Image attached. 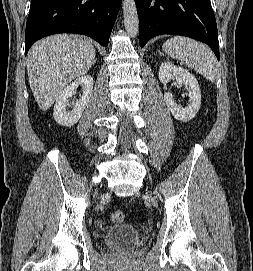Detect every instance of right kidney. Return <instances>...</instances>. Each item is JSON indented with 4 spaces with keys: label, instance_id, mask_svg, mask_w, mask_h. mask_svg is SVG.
<instances>
[{
    "label": "right kidney",
    "instance_id": "obj_1",
    "mask_svg": "<svg viewBox=\"0 0 253 271\" xmlns=\"http://www.w3.org/2000/svg\"><path fill=\"white\" fill-rule=\"evenodd\" d=\"M79 86L82 87L83 95L73 105L72 110H68L67 108L71 107L69 98L75 95L76 89ZM92 92L93 78L89 75L82 76L70 83L65 89L61 91L56 99L53 112L55 121L58 124L66 127L75 125L81 118L85 107L88 105Z\"/></svg>",
    "mask_w": 253,
    "mask_h": 271
}]
</instances>
